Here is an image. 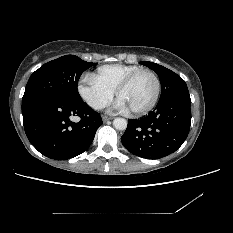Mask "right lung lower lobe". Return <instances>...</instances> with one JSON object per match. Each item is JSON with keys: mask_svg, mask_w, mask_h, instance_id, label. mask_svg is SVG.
<instances>
[{"mask_svg": "<svg viewBox=\"0 0 233 233\" xmlns=\"http://www.w3.org/2000/svg\"><path fill=\"white\" fill-rule=\"evenodd\" d=\"M25 133L44 156L67 160L85 152L102 125L99 113L81 100L43 96L22 103ZM72 116H79L78 123Z\"/></svg>", "mask_w": 233, "mask_h": 233, "instance_id": "right-lung-lower-lobe-1", "label": "right lung lower lobe"}]
</instances>
